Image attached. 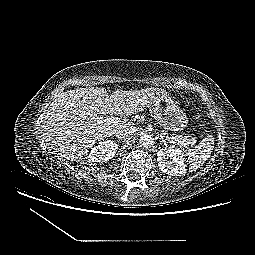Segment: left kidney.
Segmentation results:
<instances>
[{"label": "left kidney", "instance_id": "1", "mask_svg": "<svg viewBox=\"0 0 255 255\" xmlns=\"http://www.w3.org/2000/svg\"><path fill=\"white\" fill-rule=\"evenodd\" d=\"M159 169L168 175L179 176L186 173L184 153L180 149L165 148L157 153Z\"/></svg>", "mask_w": 255, "mask_h": 255}]
</instances>
